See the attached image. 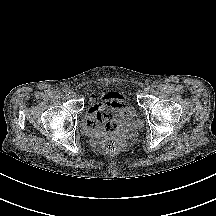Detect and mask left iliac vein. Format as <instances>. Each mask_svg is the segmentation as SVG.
Masks as SVG:
<instances>
[{"label":"left iliac vein","instance_id":"1","mask_svg":"<svg viewBox=\"0 0 216 216\" xmlns=\"http://www.w3.org/2000/svg\"><path fill=\"white\" fill-rule=\"evenodd\" d=\"M150 93V88L147 87L143 90V94H149Z\"/></svg>","mask_w":216,"mask_h":216}]
</instances>
